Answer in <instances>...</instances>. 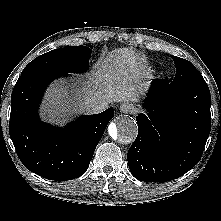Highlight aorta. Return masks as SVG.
<instances>
[{
  "label": "aorta",
  "mask_w": 221,
  "mask_h": 221,
  "mask_svg": "<svg viewBox=\"0 0 221 221\" xmlns=\"http://www.w3.org/2000/svg\"><path fill=\"white\" fill-rule=\"evenodd\" d=\"M110 137L117 142L131 143L138 134V126L136 121L128 116H118L108 126Z\"/></svg>",
  "instance_id": "1"
}]
</instances>
